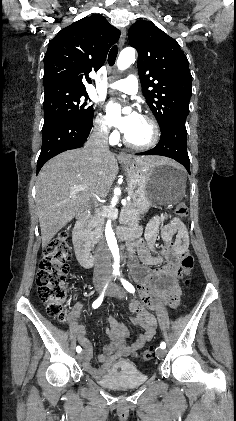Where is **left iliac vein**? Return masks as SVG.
I'll use <instances>...</instances> for the list:
<instances>
[{"instance_id":"obj_1","label":"left iliac vein","mask_w":236,"mask_h":421,"mask_svg":"<svg viewBox=\"0 0 236 421\" xmlns=\"http://www.w3.org/2000/svg\"><path fill=\"white\" fill-rule=\"evenodd\" d=\"M107 295L122 299L125 296V291L121 286L117 285L116 283H112L109 286ZM156 353L159 357H163L165 355V351L162 348H158Z\"/></svg>"}]
</instances>
